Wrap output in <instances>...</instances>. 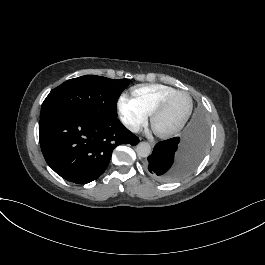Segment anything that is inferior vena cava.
<instances>
[{
    "instance_id": "obj_1",
    "label": "inferior vena cava",
    "mask_w": 265,
    "mask_h": 265,
    "mask_svg": "<svg viewBox=\"0 0 265 265\" xmlns=\"http://www.w3.org/2000/svg\"><path fill=\"white\" fill-rule=\"evenodd\" d=\"M127 128L133 132V133H137L140 130V125L138 124H131V125H127Z\"/></svg>"
}]
</instances>
